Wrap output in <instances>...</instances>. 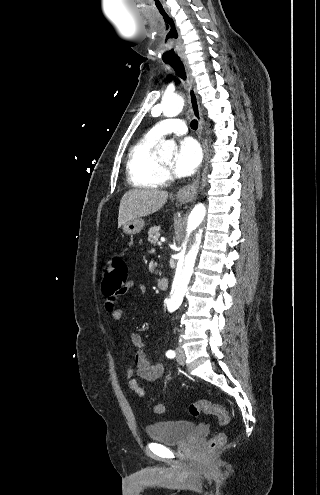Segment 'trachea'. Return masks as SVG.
<instances>
[{
    "instance_id": "obj_1",
    "label": "trachea",
    "mask_w": 320,
    "mask_h": 495,
    "mask_svg": "<svg viewBox=\"0 0 320 495\" xmlns=\"http://www.w3.org/2000/svg\"><path fill=\"white\" fill-rule=\"evenodd\" d=\"M168 63L173 67V69L175 70V72L183 80H186V72H185L184 66H183V64L181 63L180 60H173V61H169ZM190 126H191V128L193 130H196L198 128V122H197V120H192Z\"/></svg>"
}]
</instances>
